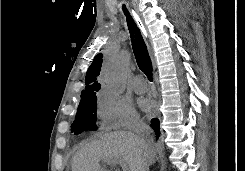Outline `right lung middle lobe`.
<instances>
[{"mask_svg":"<svg viewBox=\"0 0 245 171\" xmlns=\"http://www.w3.org/2000/svg\"><path fill=\"white\" fill-rule=\"evenodd\" d=\"M96 102L97 98L95 95L81 99L77 115L71 127V132H74L75 134H80L88 130H97Z\"/></svg>","mask_w":245,"mask_h":171,"instance_id":"dd1d6c3e","label":"right lung middle lobe"}]
</instances>
